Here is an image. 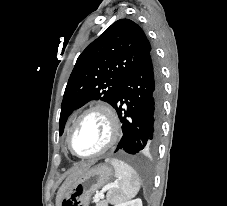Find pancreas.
Here are the masks:
<instances>
[{
	"instance_id": "cf45deb5",
	"label": "pancreas",
	"mask_w": 227,
	"mask_h": 206,
	"mask_svg": "<svg viewBox=\"0 0 227 206\" xmlns=\"http://www.w3.org/2000/svg\"><path fill=\"white\" fill-rule=\"evenodd\" d=\"M96 206H108V201H99Z\"/></svg>"
}]
</instances>
